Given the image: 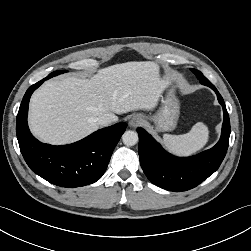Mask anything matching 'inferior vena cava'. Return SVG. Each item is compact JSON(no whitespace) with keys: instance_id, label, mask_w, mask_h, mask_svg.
I'll return each mask as SVG.
<instances>
[{"instance_id":"602c4592","label":"inferior vena cava","mask_w":251,"mask_h":251,"mask_svg":"<svg viewBox=\"0 0 251 251\" xmlns=\"http://www.w3.org/2000/svg\"><path fill=\"white\" fill-rule=\"evenodd\" d=\"M97 122L99 125L101 126H108L112 123V120L110 117L108 116H100L98 119H97Z\"/></svg>"}]
</instances>
